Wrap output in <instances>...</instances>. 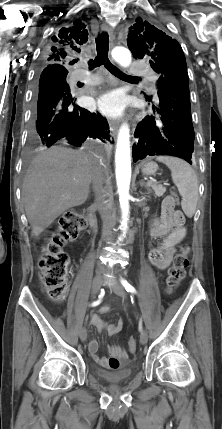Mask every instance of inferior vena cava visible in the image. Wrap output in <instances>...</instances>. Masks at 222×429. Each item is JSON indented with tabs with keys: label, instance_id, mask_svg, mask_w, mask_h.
Returning <instances> with one entry per match:
<instances>
[{
	"label": "inferior vena cava",
	"instance_id": "inferior-vena-cava-1",
	"mask_svg": "<svg viewBox=\"0 0 222 429\" xmlns=\"http://www.w3.org/2000/svg\"><path fill=\"white\" fill-rule=\"evenodd\" d=\"M92 185L95 192L96 204L103 221L102 235L104 240L112 233L115 217L111 213V205L107 201L108 193L104 188V170L102 158L92 168Z\"/></svg>",
	"mask_w": 222,
	"mask_h": 429
}]
</instances>
